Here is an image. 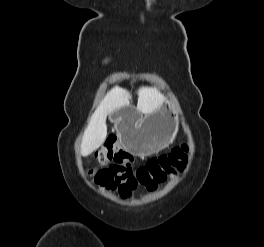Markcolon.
Listing matches in <instances>:
<instances>
[{
	"label": "colon",
	"instance_id": "colon-1",
	"mask_svg": "<svg viewBox=\"0 0 264 247\" xmlns=\"http://www.w3.org/2000/svg\"><path fill=\"white\" fill-rule=\"evenodd\" d=\"M116 140L114 133L108 135L105 147L98 151L100 166L92 169L90 174L99 185L118 191L122 197H129L139 185L153 190L166 181L169 175L185 167L186 145L149 160L134 172L133 155L116 146ZM109 162L111 165L106 167Z\"/></svg>",
	"mask_w": 264,
	"mask_h": 247
}]
</instances>
